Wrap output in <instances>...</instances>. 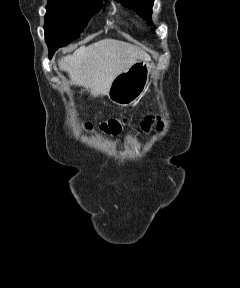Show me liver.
Wrapping results in <instances>:
<instances>
[{"label":"liver","instance_id":"6515ba94","mask_svg":"<svg viewBox=\"0 0 240 288\" xmlns=\"http://www.w3.org/2000/svg\"><path fill=\"white\" fill-rule=\"evenodd\" d=\"M138 60L150 56L137 46L115 39H104L81 46L73 54L58 61L71 84L85 87L94 97L108 95L115 77L128 70Z\"/></svg>","mask_w":240,"mask_h":288}]
</instances>
